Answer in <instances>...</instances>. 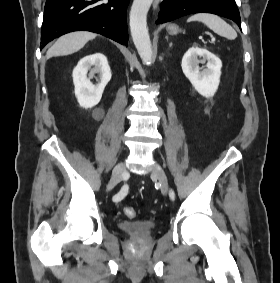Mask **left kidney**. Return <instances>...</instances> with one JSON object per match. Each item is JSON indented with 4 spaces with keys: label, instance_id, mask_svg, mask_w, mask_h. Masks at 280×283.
I'll return each instance as SVG.
<instances>
[{
    "label": "left kidney",
    "instance_id": "obj_1",
    "mask_svg": "<svg viewBox=\"0 0 280 283\" xmlns=\"http://www.w3.org/2000/svg\"><path fill=\"white\" fill-rule=\"evenodd\" d=\"M198 57H202L198 60ZM199 63L206 68L199 67ZM182 70L195 90L203 97L210 98L216 93L221 76V60L206 49L190 47L182 58Z\"/></svg>",
    "mask_w": 280,
    "mask_h": 283
}]
</instances>
